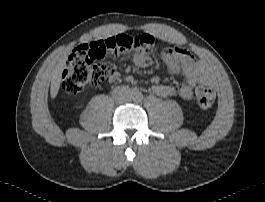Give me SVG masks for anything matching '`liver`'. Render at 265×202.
<instances>
[{"label":"liver","mask_w":265,"mask_h":202,"mask_svg":"<svg viewBox=\"0 0 265 202\" xmlns=\"http://www.w3.org/2000/svg\"><path fill=\"white\" fill-rule=\"evenodd\" d=\"M67 56L60 59V61L56 64L54 70L52 71V79H51V86H50V96L54 99L60 89L61 84V75L62 71L66 66Z\"/></svg>","instance_id":"obj_1"}]
</instances>
